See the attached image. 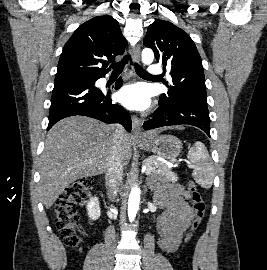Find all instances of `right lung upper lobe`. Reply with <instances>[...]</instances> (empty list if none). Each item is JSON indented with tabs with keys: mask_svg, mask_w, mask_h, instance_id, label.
Masks as SVG:
<instances>
[{
	"mask_svg": "<svg viewBox=\"0 0 267 270\" xmlns=\"http://www.w3.org/2000/svg\"><path fill=\"white\" fill-rule=\"evenodd\" d=\"M127 45L120 26L111 16H97L82 25L64 45L56 76L76 74L105 75L108 63L115 62Z\"/></svg>",
	"mask_w": 267,
	"mask_h": 270,
	"instance_id": "obj_1",
	"label": "right lung upper lobe"
}]
</instances>
